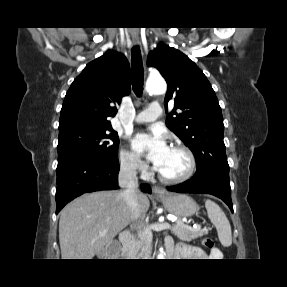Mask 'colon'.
I'll return each mask as SVG.
<instances>
[{"mask_svg": "<svg viewBox=\"0 0 287 287\" xmlns=\"http://www.w3.org/2000/svg\"><path fill=\"white\" fill-rule=\"evenodd\" d=\"M201 243L204 247L209 248V249L214 247V241L210 237H203L201 240ZM109 248L111 249L112 254H115L118 251L117 245H112Z\"/></svg>", "mask_w": 287, "mask_h": 287, "instance_id": "5ec220e1", "label": "colon"}]
</instances>
